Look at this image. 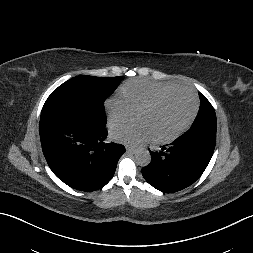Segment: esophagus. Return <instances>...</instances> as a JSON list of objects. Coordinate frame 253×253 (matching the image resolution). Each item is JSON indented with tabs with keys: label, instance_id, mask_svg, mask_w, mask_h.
I'll list each match as a JSON object with an SVG mask.
<instances>
[{
	"label": "esophagus",
	"instance_id": "esophagus-1",
	"mask_svg": "<svg viewBox=\"0 0 253 253\" xmlns=\"http://www.w3.org/2000/svg\"><path fill=\"white\" fill-rule=\"evenodd\" d=\"M126 151H127V153L134 154L136 152V149L133 147L127 146Z\"/></svg>",
	"mask_w": 253,
	"mask_h": 253
}]
</instances>
